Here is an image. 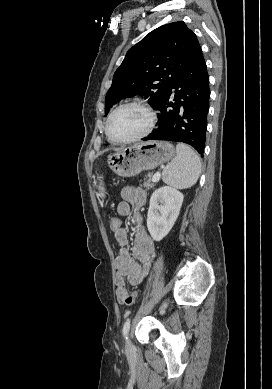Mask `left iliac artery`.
I'll return each mask as SVG.
<instances>
[{
    "label": "left iliac artery",
    "instance_id": "1",
    "mask_svg": "<svg viewBox=\"0 0 272 389\" xmlns=\"http://www.w3.org/2000/svg\"><path fill=\"white\" fill-rule=\"evenodd\" d=\"M129 329H130V320H127L124 325H123V329H122V333H123V336L125 338H127V334L129 332Z\"/></svg>",
    "mask_w": 272,
    "mask_h": 389
}]
</instances>
